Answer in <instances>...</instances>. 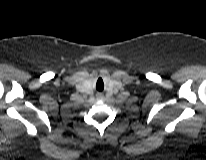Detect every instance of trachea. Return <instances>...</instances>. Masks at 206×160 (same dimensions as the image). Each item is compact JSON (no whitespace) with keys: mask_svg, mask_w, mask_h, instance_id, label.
<instances>
[{"mask_svg":"<svg viewBox=\"0 0 206 160\" xmlns=\"http://www.w3.org/2000/svg\"><path fill=\"white\" fill-rule=\"evenodd\" d=\"M98 82H101V83H102L101 86H102V89H103V88H104L103 80H102L101 78H99V79H98ZM98 82H97V84H98Z\"/></svg>","mask_w":206,"mask_h":160,"instance_id":"obj_1","label":"trachea"}]
</instances>
